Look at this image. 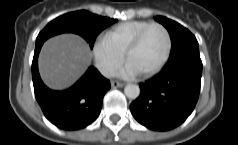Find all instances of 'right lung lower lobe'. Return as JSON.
<instances>
[{
	"instance_id": "98d812e1",
	"label": "right lung lower lobe",
	"mask_w": 238,
	"mask_h": 145,
	"mask_svg": "<svg viewBox=\"0 0 238 145\" xmlns=\"http://www.w3.org/2000/svg\"><path fill=\"white\" fill-rule=\"evenodd\" d=\"M42 45L43 43L36 44L32 61V80L35 97L45 117L63 130L85 128L99 116L103 97L110 88V81L91 66L70 89L50 90L43 84L38 71V55Z\"/></svg>"
}]
</instances>
